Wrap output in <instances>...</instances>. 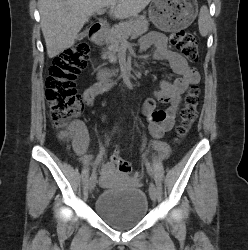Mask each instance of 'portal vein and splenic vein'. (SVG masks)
I'll return each mask as SVG.
<instances>
[{
    "mask_svg": "<svg viewBox=\"0 0 248 250\" xmlns=\"http://www.w3.org/2000/svg\"><path fill=\"white\" fill-rule=\"evenodd\" d=\"M98 15H102L105 13V10L104 9H100L96 12Z\"/></svg>",
    "mask_w": 248,
    "mask_h": 250,
    "instance_id": "1",
    "label": "portal vein and splenic vein"
}]
</instances>
